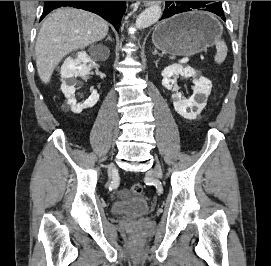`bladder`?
Masks as SVG:
<instances>
[{
	"label": "bladder",
	"mask_w": 271,
	"mask_h": 266,
	"mask_svg": "<svg viewBox=\"0 0 271 266\" xmlns=\"http://www.w3.org/2000/svg\"><path fill=\"white\" fill-rule=\"evenodd\" d=\"M151 210L149 203L144 199H129L118 201L112 205V212L127 219L134 220L147 215Z\"/></svg>",
	"instance_id": "bladder-1"
}]
</instances>
